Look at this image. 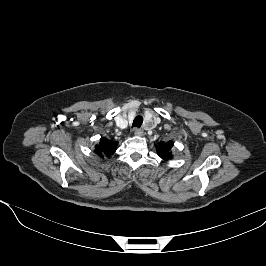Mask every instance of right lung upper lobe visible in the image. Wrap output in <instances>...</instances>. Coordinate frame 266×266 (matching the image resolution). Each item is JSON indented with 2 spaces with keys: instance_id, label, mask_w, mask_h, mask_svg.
I'll list each match as a JSON object with an SVG mask.
<instances>
[{
  "instance_id": "1",
  "label": "right lung upper lobe",
  "mask_w": 266,
  "mask_h": 266,
  "mask_svg": "<svg viewBox=\"0 0 266 266\" xmlns=\"http://www.w3.org/2000/svg\"><path fill=\"white\" fill-rule=\"evenodd\" d=\"M117 142L108 140L106 138L101 139L99 145L95 147L96 153L100 157H110L116 151Z\"/></svg>"
}]
</instances>
